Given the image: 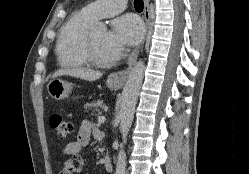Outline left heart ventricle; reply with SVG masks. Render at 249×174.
<instances>
[{
    "label": "left heart ventricle",
    "instance_id": "1",
    "mask_svg": "<svg viewBox=\"0 0 249 174\" xmlns=\"http://www.w3.org/2000/svg\"><path fill=\"white\" fill-rule=\"evenodd\" d=\"M92 41L94 53L100 60L111 62V55L108 45V31L95 30L92 32Z\"/></svg>",
    "mask_w": 249,
    "mask_h": 174
}]
</instances>
